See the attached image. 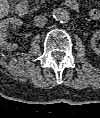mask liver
<instances>
[{
	"instance_id": "obj_1",
	"label": "liver",
	"mask_w": 100,
	"mask_h": 118,
	"mask_svg": "<svg viewBox=\"0 0 100 118\" xmlns=\"http://www.w3.org/2000/svg\"><path fill=\"white\" fill-rule=\"evenodd\" d=\"M1 12H8V3L6 0H1Z\"/></svg>"
}]
</instances>
